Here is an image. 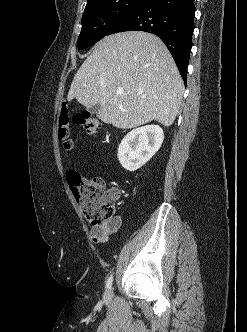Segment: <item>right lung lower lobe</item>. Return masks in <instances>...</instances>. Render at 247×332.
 <instances>
[{"label":"right lung lower lobe","instance_id":"1","mask_svg":"<svg viewBox=\"0 0 247 332\" xmlns=\"http://www.w3.org/2000/svg\"><path fill=\"white\" fill-rule=\"evenodd\" d=\"M195 10L194 0H147L120 18L107 35L123 31L156 34L167 46L186 83Z\"/></svg>","mask_w":247,"mask_h":332}]
</instances>
